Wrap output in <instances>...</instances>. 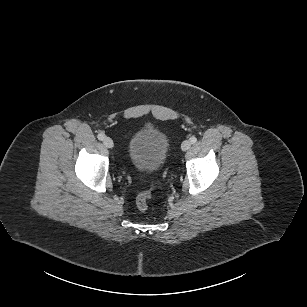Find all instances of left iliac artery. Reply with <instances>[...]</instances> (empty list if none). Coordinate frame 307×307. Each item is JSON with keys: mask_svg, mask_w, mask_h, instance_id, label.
Masks as SVG:
<instances>
[{"mask_svg": "<svg viewBox=\"0 0 307 307\" xmlns=\"http://www.w3.org/2000/svg\"><path fill=\"white\" fill-rule=\"evenodd\" d=\"M190 142H191V144H194V143H196L197 142V138L196 137H191L190 138Z\"/></svg>", "mask_w": 307, "mask_h": 307, "instance_id": "obj_1", "label": "left iliac artery"}]
</instances>
